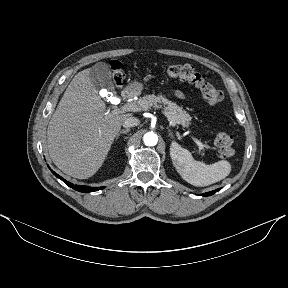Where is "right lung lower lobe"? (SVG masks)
<instances>
[{"label": "right lung lower lobe", "mask_w": 288, "mask_h": 288, "mask_svg": "<svg viewBox=\"0 0 288 288\" xmlns=\"http://www.w3.org/2000/svg\"><path fill=\"white\" fill-rule=\"evenodd\" d=\"M52 172H53V171H52ZM53 174H55L57 178L61 179V180H62L64 183H66L69 187H71V188H73L74 190H77V191H79V192L88 193V192L98 191V190L104 188V187L93 188V187H89V186L74 185V184L66 181L65 179H63L60 175L56 174L55 172H53Z\"/></svg>", "instance_id": "right-lung-lower-lobe-1"}]
</instances>
